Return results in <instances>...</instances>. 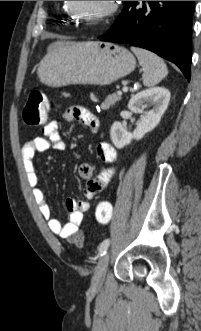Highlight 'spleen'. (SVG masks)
I'll list each match as a JSON object with an SVG mask.
<instances>
[{"label": "spleen", "mask_w": 201, "mask_h": 331, "mask_svg": "<svg viewBox=\"0 0 201 331\" xmlns=\"http://www.w3.org/2000/svg\"><path fill=\"white\" fill-rule=\"evenodd\" d=\"M140 65L144 68L142 74L143 85L152 87L158 84L168 74L167 66L162 58L143 48L131 47Z\"/></svg>", "instance_id": "spleen-1"}]
</instances>
